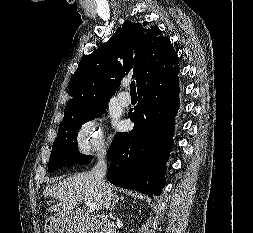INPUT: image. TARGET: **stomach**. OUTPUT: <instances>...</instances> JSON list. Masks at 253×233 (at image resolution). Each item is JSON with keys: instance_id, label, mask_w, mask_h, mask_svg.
Returning a JSON list of instances; mask_svg holds the SVG:
<instances>
[{"instance_id": "0dacf381", "label": "stomach", "mask_w": 253, "mask_h": 233, "mask_svg": "<svg viewBox=\"0 0 253 233\" xmlns=\"http://www.w3.org/2000/svg\"><path fill=\"white\" fill-rule=\"evenodd\" d=\"M76 216L73 212L58 214L45 223L46 233H77L75 229Z\"/></svg>"}]
</instances>
